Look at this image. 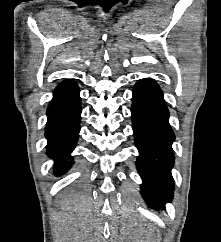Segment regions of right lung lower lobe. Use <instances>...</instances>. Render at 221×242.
Instances as JSON below:
<instances>
[{
  "instance_id": "1",
  "label": "right lung lower lobe",
  "mask_w": 221,
  "mask_h": 242,
  "mask_svg": "<svg viewBox=\"0 0 221 242\" xmlns=\"http://www.w3.org/2000/svg\"><path fill=\"white\" fill-rule=\"evenodd\" d=\"M81 99L75 81H63L55 91L47 109L45 136L48 140V155L55 159V172H65L73 163L71 151L80 131Z\"/></svg>"
}]
</instances>
